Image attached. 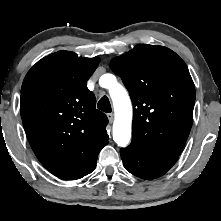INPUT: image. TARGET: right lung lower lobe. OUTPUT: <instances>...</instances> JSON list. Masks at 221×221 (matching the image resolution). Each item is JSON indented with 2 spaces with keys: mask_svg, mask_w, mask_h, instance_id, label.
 <instances>
[{
  "mask_svg": "<svg viewBox=\"0 0 221 221\" xmlns=\"http://www.w3.org/2000/svg\"><path fill=\"white\" fill-rule=\"evenodd\" d=\"M98 154L93 158V160L89 163V165L74 179H79L87 174L91 173L95 167H96V161H97Z\"/></svg>",
  "mask_w": 221,
  "mask_h": 221,
  "instance_id": "obj_1",
  "label": "right lung lower lobe"
}]
</instances>
